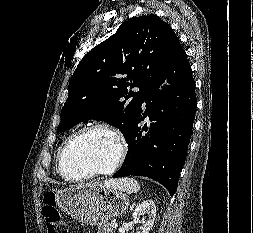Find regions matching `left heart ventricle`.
Masks as SVG:
<instances>
[{"label":"left heart ventricle","instance_id":"obj_1","mask_svg":"<svg viewBox=\"0 0 253 233\" xmlns=\"http://www.w3.org/2000/svg\"><path fill=\"white\" fill-rule=\"evenodd\" d=\"M118 153L115 138L105 131H92L68 148L64 162V173L71 177L81 176L97 169L108 168Z\"/></svg>","mask_w":253,"mask_h":233}]
</instances>
